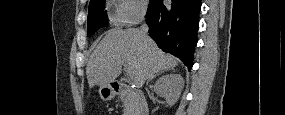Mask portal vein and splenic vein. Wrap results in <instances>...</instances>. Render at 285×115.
Masks as SVG:
<instances>
[{"label": "portal vein and splenic vein", "mask_w": 285, "mask_h": 115, "mask_svg": "<svg viewBox=\"0 0 285 115\" xmlns=\"http://www.w3.org/2000/svg\"><path fill=\"white\" fill-rule=\"evenodd\" d=\"M124 70L126 71V74H127V77L129 79H131L133 76H132V73L128 70V68L126 66H124Z\"/></svg>", "instance_id": "18ae733b"}]
</instances>
